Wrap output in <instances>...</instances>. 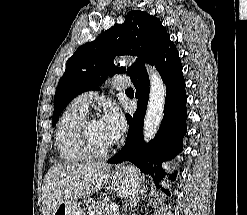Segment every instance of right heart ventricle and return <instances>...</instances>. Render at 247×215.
<instances>
[{"label": "right heart ventricle", "mask_w": 247, "mask_h": 215, "mask_svg": "<svg viewBox=\"0 0 247 215\" xmlns=\"http://www.w3.org/2000/svg\"><path fill=\"white\" fill-rule=\"evenodd\" d=\"M85 114L86 109L73 101L58 121L55 142L61 159L67 163H79L89 159L81 148L77 136L78 124Z\"/></svg>", "instance_id": "right-heart-ventricle-1"}]
</instances>
